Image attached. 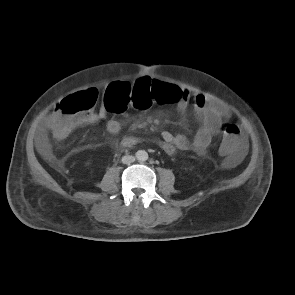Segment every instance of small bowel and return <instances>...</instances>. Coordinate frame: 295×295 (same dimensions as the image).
I'll return each instance as SVG.
<instances>
[{"instance_id": "c3829d8e", "label": "small bowel", "mask_w": 295, "mask_h": 295, "mask_svg": "<svg viewBox=\"0 0 295 295\" xmlns=\"http://www.w3.org/2000/svg\"><path fill=\"white\" fill-rule=\"evenodd\" d=\"M150 81L147 77H142L134 82L129 83L135 87L137 83ZM177 89L176 106L179 113H184L192 103L194 111L200 121V126L191 138L183 134H173L169 131L161 133V139L158 141L159 147L168 155H172L177 149L192 150L200 155L205 154L212 137L219 131L223 122L229 118V111L223 105L208 100L200 93H192L182 86L173 85ZM109 110L102 105L97 113L88 114L82 123H97L107 120L106 128L109 133L117 134L121 130V123L116 118H108ZM55 112L48 117L44 128L38 136V143L42 148H48L47 133L51 131V125L55 119ZM137 138L126 136L121 140V146L129 148L137 144ZM244 143L240 142L238 149L234 152L227 153L226 164L229 167L236 166L243 157Z\"/></svg>"}]
</instances>
